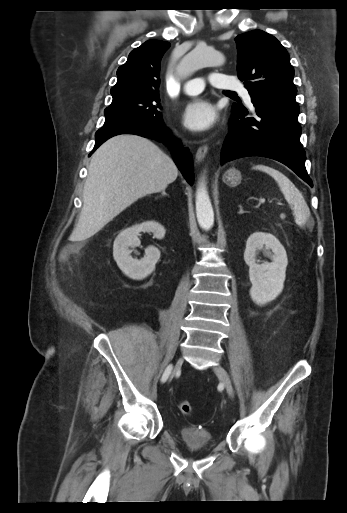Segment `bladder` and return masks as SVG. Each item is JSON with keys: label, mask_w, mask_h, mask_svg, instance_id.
Returning a JSON list of instances; mask_svg holds the SVG:
<instances>
[{"label": "bladder", "mask_w": 347, "mask_h": 513, "mask_svg": "<svg viewBox=\"0 0 347 513\" xmlns=\"http://www.w3.org/2000/svg\"><path fill=\"white\" fill-rule=\"evenodd\" d=\"M181 439L188 451L205 453L213 450L217 442L212 434L205 429L196 427H183L179 431Z\"/></svg>", "instance_id": "obj_1"}]
</instances>
